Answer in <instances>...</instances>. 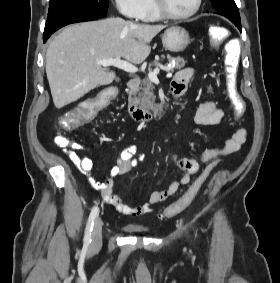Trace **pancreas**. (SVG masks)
<instances>
[{"label": "pancreas", "mask_w": 280, "mask_h": 283, "mask_svg": "<svg viewBox=\"0 0 280 283\" xmlns=\"http://www.w3.org/2000/svg\"><path fill=\"white\" fill-rule=\"evenodd\" d=\"M168 61L174 62V66L166 68L167 72H172L174 69H181L185 66L186 61L177 56V57H172L168 56ZM154 66H159V61H153L152 63L149 64L148 70L152 71V68ZM154 88L155 86L153 85V82L149 78H145L142 80L141 83V92L139 93L138 96V102L140 104V107H142L145 111H156L157 110V104L155 103L156 96L154 95Z\"/></svg>", "instance_id": "cf45deb5"}]
</instances>
